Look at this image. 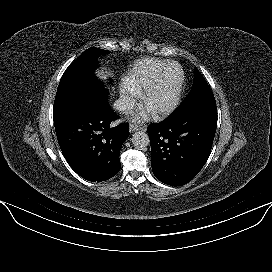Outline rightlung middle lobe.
Listing matches in <instances>:
<instances>
[{
    "label": "right lung middle lobe",
    "instance_id": "1",
    "mask_svg": "<svg viewBox=\"0 0 272 272\" xmlns=\"http://www.w3.org/2000/svg\"><path fill=\"white\" fill-rule=\"evenodd\" d=\"M108 52L95 47L89 48L68 66L57 89L53 106L54 120L59 119L81 97L97 96L107 100V91L94 75V71L98 67L97 56Z\"/></svg>",
    "mask_w": 272,
    "mask_h": 272
}]
</instances>
